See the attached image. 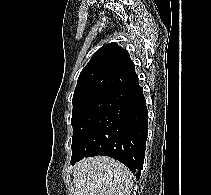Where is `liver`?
Segmentation results:
<instances>
[{
    "instance_id": "1",
    "label": "liver",
    "mask_w": 211,
    "mask_h": 195,
    "mask_svg": "<svg viewBox=\"0 0 211 195\" xmlns=\"http://www.w3.org/2000/svg\"><path fill=\"white\" fill-rule=\"evenodd\" d=\"M74 195H130L133 174L108 156L85 158L73 171Z\"/></svg>"
}]
</instances>
